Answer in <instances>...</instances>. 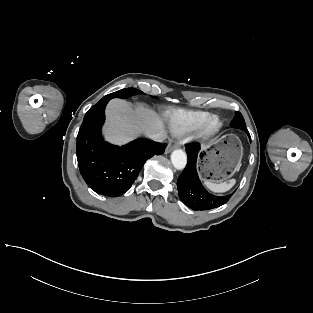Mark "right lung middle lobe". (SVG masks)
<instances>
[{
	"label": "right lung middle lobe",
	"instance_id": "obj_1",
	"mask_svg": "<svg viewBox=\"0 0 313 313\" xmlns=\"http://www.w3.org/2000/svg\"><path fill=\"white\" fill-rule=\"evenodd\" d=\"M142 93H143L142 91L135 89V88H126V89H122V90L116 91L114 93L108 94V95L104 96L102 99H109V100L112 98L125 99V98L132 96V95L142 94Z\"/></svg>",
	"mask_w": 313,
	"mask_h": 313
}]
</instances>
